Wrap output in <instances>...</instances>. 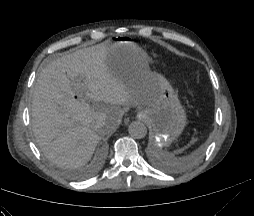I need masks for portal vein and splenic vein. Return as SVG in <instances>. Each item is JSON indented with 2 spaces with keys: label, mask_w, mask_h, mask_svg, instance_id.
<instances>
[{
  "label": "portal vein and splenic vein",
  "mask_w": 254,
  "mask_h": 216,
  "mask_svg": "<svg viewBox=\"0 0 254 216\" xmlns=\"http://www.w3.org/2000/svg\"><path fill=\"white\" fill-rule=\"evenodd\" d=\"M84 92V88L82 87V85L78 84L77 86V96H81Z\"/></svg>",
  "instance_id": "1"
}]
</instances>
